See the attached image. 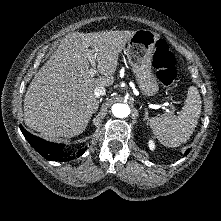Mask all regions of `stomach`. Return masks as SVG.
Segmentation results:
<instances>
[{
	"mask_svg": "<svg viewBox=\"0 0 221 221\" xmlns=\"http://www.w3.org/2000/svg\"><path fill=\"white\" fill-rule=\"evenodd\" d=\"M157 33L147 30H137L128 41L126 55L136 77L137 83L146 96H153L158 92V82L152 72V61Z\"/></svg>",
	"mask_w": 221,
	"mask_h": 221,
	"instance_id": "stomach-1",
	"label": "stomach"
}]
</instances>
